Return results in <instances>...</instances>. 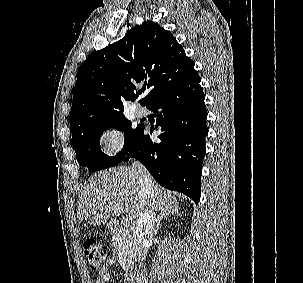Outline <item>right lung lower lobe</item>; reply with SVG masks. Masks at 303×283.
Returning <instances> with one entry per match:
<instances>
[{"mask_svg":"<svg viewBox=\"0 0 303 283\" xmlns=\"http://www.w3.org/2000/svg\"><path fill=\"white\" fill-rule=\"evenodd\" d=\"M200 76L195 73L183 84L154 99L148 106L161 127L160 141L144 135V127L127 156L139 160L163 187L184 193L196 204L201 196L202 160L208 134L207 111ZM121 161V162H122Z\"/></svg>","mask_w":303,"mask_h":283,"instance_id":"1","label":"right lung lower lobe"}]
</instances>
